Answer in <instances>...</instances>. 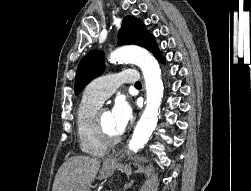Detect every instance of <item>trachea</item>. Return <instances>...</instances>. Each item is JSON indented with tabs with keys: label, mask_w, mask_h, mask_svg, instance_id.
<instances>
[{
	"label": "trachea",
	"mask_w": 251,
	"mask_h": 191,
	"mask_svg": "<svg viewBox=\"0 0 251 191\" xmlns=\"http://www.w3.org/2000/svg\"><path fill=\"white\" fill-rule=\"evenodd\" d=\"M138 86H142L140 81H136V83H135V87H138Z\"/></svg>",
	"instance_id": "trachea-1"
}]
</instances>
